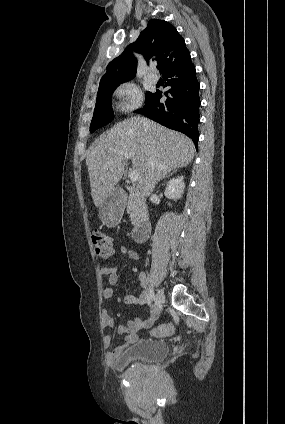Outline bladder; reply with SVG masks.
<instances>
[{"instance_id": "1", "label": "bladder", "mask_w": 285, "mask_h": 424, "mask_svg": "<svg viewBox=\"0 0 285 424\" xmlns=\"http://www.w3.org/2000/svg\"><path fill=\"white\" fill-rule=\"evenodd\" d=\"M168 351V345L164 341L142 340L121 352L115 365L125 368L135 363H156L162 360Z\"/></svg>"}]
</instances>
